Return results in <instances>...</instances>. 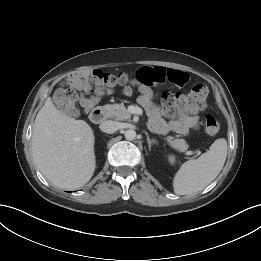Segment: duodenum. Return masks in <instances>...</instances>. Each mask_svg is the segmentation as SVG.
I'll use <instances>...</instances> for the list:
<instances>
[{
    "label": "duodenum",
    "mask_w": 261,
    "mask_h": 261,
    "mask_svg": "<svg viewBox=\"0 0 261 261\" xmlns=\"http://www.w3.org/2000/svg\"><path fill=\"white\" fill-rule=\"evenodd\" d=\"M89 118L93 123L99 124L105 120V110L97 106L91 110Z\"/></svg>",
    "instance_id": "duodenum-1"
}]
</instances>
